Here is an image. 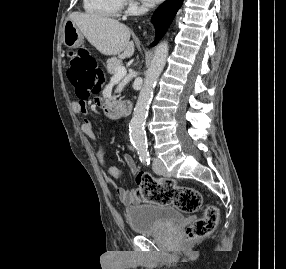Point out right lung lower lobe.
Segmentation results:
<instances>
[{"label":"right lung lower lobe","mask_w":286,"mask_h":269,"mask_svg":"<svg viewBox=\"0 0 286 269\" xmlns=\"http://www.w3.org/2000/svg\"><path fill=\"white\" fill-rule=\"evenodd\" d=\"M182 3L183 0H167L157 8L152 17V22L156 29V39L151 46L157 44L162 38Z\"/></svg>","instance_id":"right-lung-lower-lobe-1"}]
</instances>
